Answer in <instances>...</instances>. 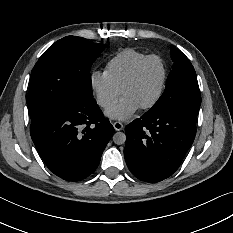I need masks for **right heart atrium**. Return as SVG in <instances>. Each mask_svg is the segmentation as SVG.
Instances as JSON below:
<instances>
[{
    "label": "right heart atrium",
    "mask_w": 233,
    "mask_h": 233,
    "mask_svg": "<svg viewBox=\"0 0 233 233\" xmlns=\"http://www.w3.org/2000/svg\"><path fill=\"white\" fill-rule=\"evenodd\" d=\"M89 82L95 100L100 107L108 109L117 103L121 96V90L103 72L98 70L92 71Z\"/></svg>",
    "instance_id": "obj_1"
}]
</instances>
